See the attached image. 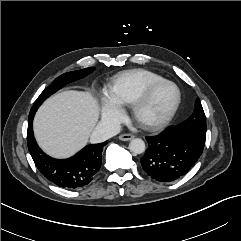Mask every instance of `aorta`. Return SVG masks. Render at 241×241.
<instances>
[{
    "mask_svg": "<svg viewBox=\"0 0 241 241\" xmlns=\"http://www.w3.org/2000/svg\"><path fill=\"white\" fill-rule=\"evenodd\" d=\"M129 149L135 154H141L145 151V142L140 138L132 139L129 143Z\"/></svg>",
    "mask_w": 241,
    "mask_h": 241,
    "instance_id": "1",
    "label": "aorta"
}]
</instances>
